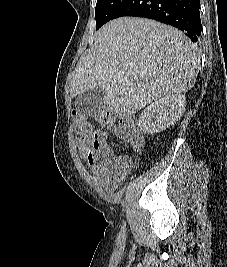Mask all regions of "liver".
<instances>
[{"mask_svg":"<svg viewBox=\"0 0 227 267\" xmlns=\"http://www.w3.org/2000/svg\"><path fill=\"white\" fill-rule=\"evenodd\" d=\"M199 72L197 49L180 30L160 22L123 17L105 24L72 75L71 96L104 91V103L128 117L169 94L189 91Z\"/></svg>","mask_w":227,"mask_h":267,"instance_id":"1","label":"liver"}]
</instances>
